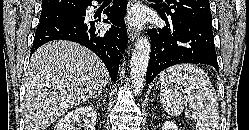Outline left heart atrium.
Listing matches in <instances>:
<instances>
[{
    "label": "left heart atrium",
    "instance_id": "left-heart-atrium-1",
    "mask_svg": "<svg viewBox=\"0 0 249 130\" xmlns=\"http://www.w3.org/2000/svg\"><path fill=\"white\" fill-rule=\"evenodd\" d=\"M144 20V12L141 9H134L128 15V21L136 26L142 25Z\"/></svg>",
    "mask_w": 249,
    "mask_h": 130
}]
</instances>
